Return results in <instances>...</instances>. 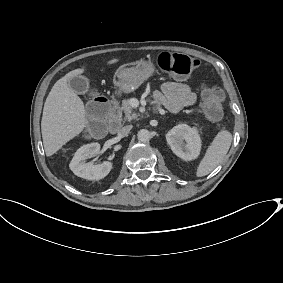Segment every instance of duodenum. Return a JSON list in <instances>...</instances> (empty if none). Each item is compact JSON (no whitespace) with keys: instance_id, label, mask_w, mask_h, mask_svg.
Listing matches in <instances>:
<instances>
[{"instance_id":"1","label":"duodenum","mask_w":283,"mask_h":283,"mask_svg":"<svg viewBox=\"0 0 283 283\" xmlns=\"http://www.w3.org/2000/svg\"><path fill=\"white\" fill-rule=\"evenodd\" d=\"M102 108H105V106H102ZM110 110H111V116L108 122V130L111 133H117L121 129V113L117 108L115 102L111 105Z\"/></svg>"}]
</instances>
